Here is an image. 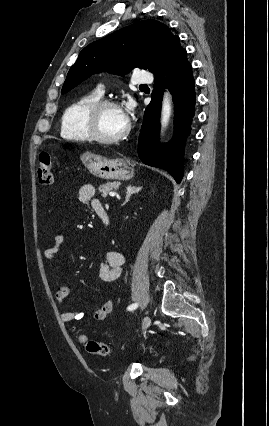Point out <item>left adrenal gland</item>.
Masks as SVG:
<instances>
[{"label":"left adrenal gland","mask_w":269,"mask_h":426,"mask_svg":"<svg viewBox=\"0 0 269 426\" xmlns=\"http://www.w3.org/2000/svg\"><path fill=\"white\" fill-rule=\"evenodd\" d=\"M141 188H142V187H135V186H131V185H129V186L126 188V197H125V201H124L123 205H125V204H126V203L130 200V197H131L133 194L138 193V192L141 190Z\"/></svg>","instance_id":"1"}]
</instances>
